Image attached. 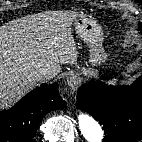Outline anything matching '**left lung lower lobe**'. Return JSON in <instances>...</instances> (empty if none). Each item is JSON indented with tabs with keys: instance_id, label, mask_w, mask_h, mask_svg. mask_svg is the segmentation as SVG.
Wrapping results in <instances>:
<instances>
[{
	"instance_id": "obj_1",
	"label": "left lung lower lobe",
	"mask_w": 142,
	"mask_h": 142,
	"mask_svg": "<svg viewBox=\"0 0 142 142\" xmlns=\"http://www.w3.org/2000/svg\"><path fill=\"white\" fill-rule=\"evenodd\" d=\"M76 105L103 124L107 134L103 142L142 138V76L131 85L89 81L77 91Z\"/></svg>"
}]
</instances>
